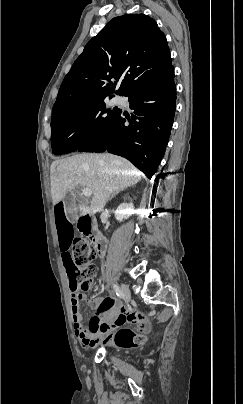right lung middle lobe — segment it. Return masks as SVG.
Wrapping results in <instances>:
<instances>
[{"mask_svg":"<svg viewBox=\"0 0 243 404\" xmlns=\"http://www.w3.org/2000/svg\"><path fill=\"white\" fill-rule=\"evenodd\" d=\"M102 97L52 117L51 142L55 155L78 150L97 136L120 109L106 108Z\"/></svg>","mask_w":243,"mask_h":404,"instance_id":"dd1d6c3e","label":"right lung middle lobe"}]
</instances>
